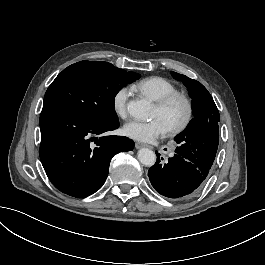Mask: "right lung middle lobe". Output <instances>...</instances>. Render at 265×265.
Wrapping results in <instances>:
<instances>
[{
    "label": "right lung middle lobe",
    "mask_w": 265,
    "mask_h": 265,
    "mask_svg": "<svg viewBox=\"0 0 265 265\" xmlns=\"http://www.w3.org/2000/svg\"><path fill=\"white\" fill-rule=\"evenodd\" d=\"M140 75L110 63L80 61L64 69L45 93L43 108H56L93 124L118 123L114 97Z\"/></svg>",
    "instance_id": "dd1d6c3e"
}]
</instances>
